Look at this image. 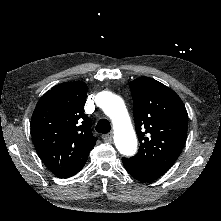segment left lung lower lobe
<instances>
[{"label": "left lung lower lobe", "mask_w": 221, "mask_h": 221, "mask_svg": "<svg viewBox=\"0 0 221 221\" xmlns=\"http://www.w3.org/2000/svg\"><path fill=\"white\" fill-rule=\"evenodd\" d=\"M123 164L126 170L131 174L134 178L142 182H151L157 178L147 174L139 167L135 166L134 164L130 163L126 158H122Z\"/></svg>", "instance_id": "obj_1"}]
</instances>
